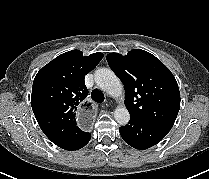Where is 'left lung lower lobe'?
Returning a JSON list of instances; mask_svg holds the SVG:
<instances>
[{"label": "left lung lower lobe", "mask_w": 209, "mask_h": 179, "mask_svg": "<svg viewBox=\"0 0 209 179\" xmlns=\"http://www.w3.org/2000/svg\"><path fill=\"white\" fill-rule=\"evenodd\" d=\"M171 128L130 116L129 124L120 127L123 140L135 149H147L160 142Z\"/></svg>", "instance_id": "obj_1"}]
</instances>
